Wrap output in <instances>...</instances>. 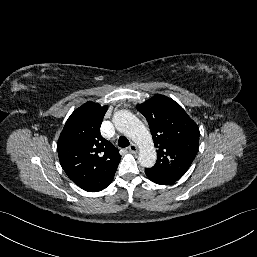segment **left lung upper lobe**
Wrapping results in <instances>:
<instances>
[{"instance_id":"obj_1","label":"left lung upper lobe","mask_w":257,"mask_h":257,"mask_svg":"<svg viewBox=\"0 0 257 257\" xmlns=\"http://www.w3.org/2000/svg\"><path fill=\"white\" fill-rule=\"evenodd\" d=\"M148 121L157 148V161L146 171L170 181L180 179L199 147V128L173 99L156 94L137 105Z\"/></svg>"}]
</instances>
